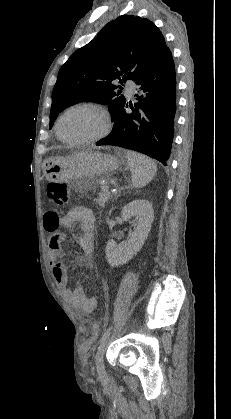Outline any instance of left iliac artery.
<instances>
[{"instance_id": "1", "label": "left iliac artery", "mask_w": 231, "mask_h": 419, "mask_svg": "<svg viewBox=\"0 0 231 419\" xmlns=\"http://www.w3.org/2000/svg\"><path fill=\"white\" fill-rule=\"evenodd\" d=\"M112 330V326H110L102 335L101 340H100V346L105 342V340L109 337L110 333Z\"/></svg>"}]
</instances>
